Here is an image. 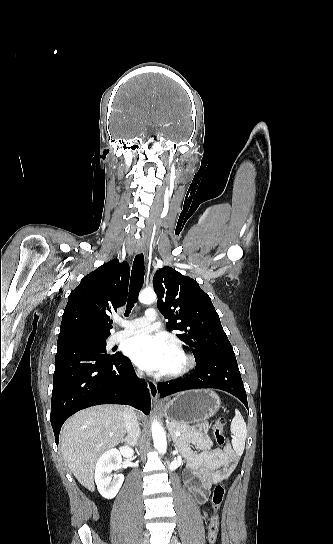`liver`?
<instances>
[{"instance_id": "6515ba94", "label": "liver", "mask_w": 333, "mask_h": 544, "mask_svg": "<svg viewBox=\"0 0 333 544\" xmlns=\"http://www.w3.org/2000/svg\"><path fill=\"white\" fill-rule=\"evenodd\" d=\"M125 433L121 406L87 408L67 420L60 435V449L81 485L95 490L93 475L100 455L123 442Z\"/></svg>"}]
</instances>
